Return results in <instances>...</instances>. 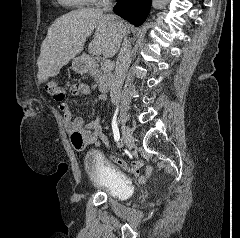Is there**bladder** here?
Returning a JSON list of instances; mask_svg holds the SVG:
<instances>
[{
    "instance_id": "bladder-1",
    "label": "bladder",
    "mask_w": 240,
    "mask_h": 238,
    "mask_svg": "<svg viewBox=\"0 0 240 238\" xmlns=\"http://www.w3.org/2000/svg\"><path fill=\"white\" fill-rule=\"evenodd\" d=\"M84 170L90 183L116 199H125L132 193L130 180L95 150H89L84 158Z\"/></svg>"
}]
</instances>
